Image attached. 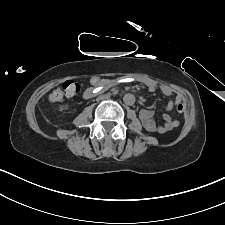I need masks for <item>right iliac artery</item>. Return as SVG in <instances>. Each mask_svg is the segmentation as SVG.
I'll list each match as a JSON object with an SVG mask.
<instances>
[{
	"label": "right iliac artery",
	"instance_id": "1",
	"mask_svg": "<svg viewBox=\"0 0 225 225\" xmlns=\"http://www.w3.org/2000/svg\"><path fill=\"white\" fill-rule=\"evenodd\" d=\"M98 89H99V88L95 89V90H94V93L98 92Z\"/></svg>",
	"mask_w": 225,
	"mask_h": 225
}]
</instances>
